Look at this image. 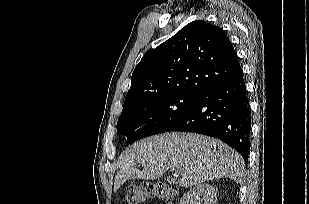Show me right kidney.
<instances>
[{
  "label": "right kidney",
  "instance_id": "right-kidney-1",
  "mask_svg": "<svg viewBox=\"0 0 309 204\" xmlns=\"http://www.w3.org/2000/svg\"><path fill=\"white\" fill-rule=\"evenodd\" d=\"M217 189L208 184L202 183L188 191L179 204H216Z\"/></svg>",
  "mask_w": 309,
  "mask_h": 204
}]
</instances>
